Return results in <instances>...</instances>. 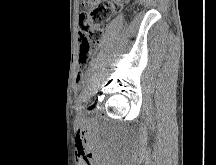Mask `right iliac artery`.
<instances>
[{
  "label": "right iliac artery",
  "mask_w": 216,
  "mask_h": 165,
  "mask_svg": "<svg viewBox=\"0 0 216 165\" xmlns=\"http://www.w3.org/2000/svg\"><path fill=\"white\" fill-rule=\"evenodd\" d=\"M84 103L81 101L78 105H77V111L79 110V109H81V106L83 105Z\"/></svg>",
  "instance_id": "82829eb1"
}]
</instances>
